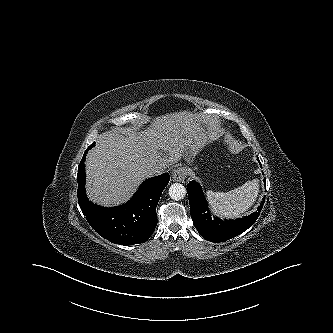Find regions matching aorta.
<instances>
[{
  "label": "aorta",
  "instance_id": "aorta-1",
  "mask_svg": "<svg viewBox=\"0 0 333 333\" xmlns=\"http://www.w3.org/2000/svg\"><path fill=\"white\" fill-rule=\"evenodd\" d=\"M186 195L185 187L180 183H174L169 187V196L173 200H181Z\"/></svg>",
  "mask_w": 333,
  "mask_h": 333
}]
</instances>
